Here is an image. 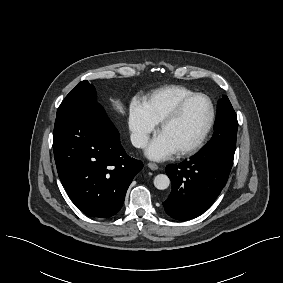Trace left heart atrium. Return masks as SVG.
Wrapping results in <instances>:
<instances>
[{
	"label": "left heart atrium",
	"mask_w": 283,
	"mask_h": 283,
	"mask_svg": "<svg viewBox=\"0 0 283 283\" xmlns=\"http://www.w3.org/2000/svg\"><path fill=\"white\" fill-rule=\"evenodd\" d=\"M147 157L152 160L162 161L169 159L176 153L175 148L162 136H156L147 146Z\"/></svg>",
	"instance_id": "39dd6f15"
}]
</instances>
